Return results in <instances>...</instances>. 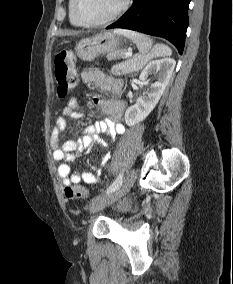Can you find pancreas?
I'll return each instance as SVG.
<instances>
[{"label": "pancreas", "instance_id": "1", "mask_svg": "<svg viewBox=\"0 0 233 284\" xmlns=\"http://www.w3.org/2000/svg\"><path fill=\"white\" fill-rule=\"evenodd\" d=\"M126 50H117L113 51L107 54V59L109 61L116 60V59H126ZM146 59H144L141 56L135 55L132 59H128L125 61V65H129L127 68V71L134 72L142 68V66L145 64Z\"/></svg>", "mask_w": 233, "mask_h": 284}]
</instances>
